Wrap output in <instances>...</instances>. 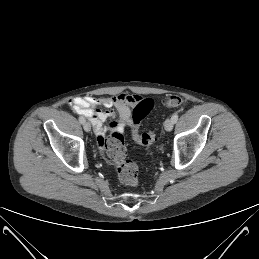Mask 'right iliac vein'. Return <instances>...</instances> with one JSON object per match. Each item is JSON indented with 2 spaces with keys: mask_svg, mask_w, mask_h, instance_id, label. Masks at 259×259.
Instances as JSON below:
<instances>
[{
  "mask_svg": "<svg viewBox=\"0 0 259 259\" xmlns=\"http://www.w3.org/2000/svg\"><path fill=\"white\" fill-rule=\"evenodd\" d=\"M83 128H84V130H85L86 132H90V130H91V125H90V123H89V122H84V123H83Z\"/></svg>",
  "mask_w": 259,
  "mask_h": 259,
  "instance_id": "1",
  "label": "right iliac vein"
}]
</instances>
